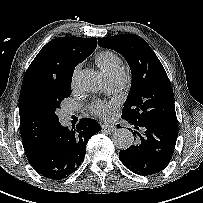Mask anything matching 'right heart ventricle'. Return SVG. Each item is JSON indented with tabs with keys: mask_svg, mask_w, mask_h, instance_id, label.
<instances>
[{
	"mask_svg": "<svg viewBox=\"0 0 203 203\" xmlns=\"http://www.w3.org/2000/svg\"><path fill=\"white\" fill-rule=\"evenodd\" d=\"M98 68L107 76L122 71V60L113 51L104 50L95 56Z\"/></svg>",
	"mask_w": 203,
	"mask_h": 203,
	"instance_id": "obj_1",
	"label": "right heart ventricle"
}]
</instances>
